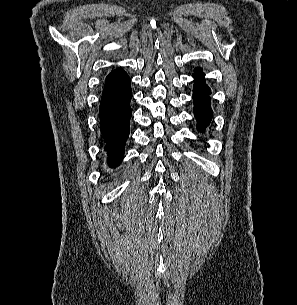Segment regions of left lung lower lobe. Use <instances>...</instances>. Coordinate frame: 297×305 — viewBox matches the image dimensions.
<instances>
[{
	"label": "left lung lower lobe",
	"instance_id": "left-lung-lower-lobe-1",
	"mask_svg": "<svg viewBox=\"0 0 297 305\" xmlns=\"http://www.w3.org/2000/svg\"><path fill=\"white\" fill-rule=\"evenodd\" d=\"M194 77V115L198 122V129L203 131L209 124L210 119L213 116V112L210 108V88L206 85L204 79V73L201 68H195Z\"/></svg>",
	"mask_w": 297,
	"mask_h": 305
}]
</instances>
